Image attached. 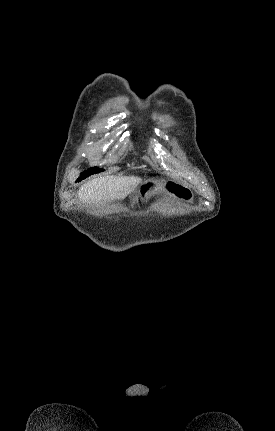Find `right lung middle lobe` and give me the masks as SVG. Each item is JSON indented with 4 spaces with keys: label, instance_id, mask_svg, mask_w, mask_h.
Segmentation results:
<instances>
[{
    "label": "right lung middle lobe",
    "instance_id": "dd1d6c3e",
    "mask_svg": "<svg viewBox=\"0 0 275 431\" xmlns=\"http://www.w3.org/2000/svg\"><path fill=\"white\" fill-rule=\"evenodd\" d=\"M100 171H103V169H99L97 167L91 168L90 170L82 173L81 176L79 177V179L77 181H80V180L88 177L89 175L99 173Z\"/></svg>",
    "mask_w": 275,
    "mask_h": 431
}]
</instances>
